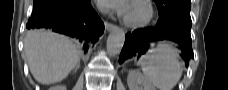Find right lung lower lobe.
Returning a JSON list of instances; mask_svg holds the SVG:
<instances>
[{
	"label": "right lung lower lobe",
	"instance_id": "1",
	"mask_svg": "<svg viewBox=\"0 0 228 90\" xmlns=\"http://www.w3.org/2000/svg\"><path fill=\"white\" fill-rule=\"evenodd\" d=\"M26 27L51 29L76 38L85 51L104 32V24L90 0H35Z\"/></svg>",
	"mask_w": 228,
	"mask_h": 90
}]
</instances>
